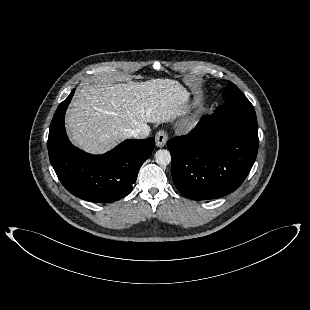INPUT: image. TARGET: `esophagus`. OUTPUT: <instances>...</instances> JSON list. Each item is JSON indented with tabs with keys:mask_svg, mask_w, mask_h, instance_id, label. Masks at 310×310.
<instances>
[{
	"mask_svg": "<svg viewBox=\"0 0 310 310\" xmlns=\"http://www.w3.org/2000/svg\"><path fill=\"white\" fill-rule=\"evenodd\" d=\"M155 140H156V146L157 147H164L166 145V142L168 140V135L166 132L160 130L156 133L155 135Z\"/></svg>",
	"mask_w": 310,
	"mask_h": 310,
	"instance_id": "34e87169",
	"label": "esophagus"
}]
</instances>
